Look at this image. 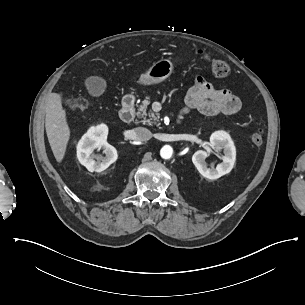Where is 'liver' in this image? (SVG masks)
Here are the masks:
<instances>
[{
  "label": "liver",
  "instance_id": "liver-1",
  "mask_svg": "<svg viewBox=\"0 0 305 305\" xmlns=\"http://www.w3.org/2000/svg\"><path fill=\"white\" fill-rule=\"evenodd\" d=\"M45 103V128L48 141L57 162H61L70 136V130L66 122V113L62 108L61 96L59 94L51 93L46 98Z\"/></svg>",
  "mask_w": 305,
  "mask_h": 305
}]
</instances>
